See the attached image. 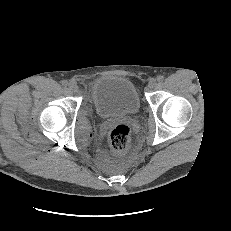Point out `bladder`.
I'll list each match as a JSON object with an SVG mask.
<instances>
[{
  "label": "bladder",
  "instance_id": "obj_1",
  "mask_svg": "<svg viewBox=\"0 0 231 231\" xmlns=\"http://www.w3.org/2000/svg\"><path fill=\"white\" fill-rule=\"evenodd\" d=\"M90 98L96 113L102 118L134 114L140 107L135 85L120 76L96 78L91 86Z\"/></svg>",
  "mask_w": 231,
  "mask_h": 231
}]
</instances>
